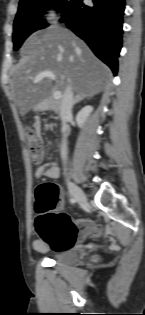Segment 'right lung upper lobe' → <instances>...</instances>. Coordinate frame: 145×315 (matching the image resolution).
I'll return each mask as SVG.
<instances>
[{"label": "right lung upper lobe", "instance_id": "obj_1", "mask_svg": "<svg viewBox=\"0 0 145 315\" xmlns=\"http://www.w3.org/2000/svg\"><path fill=\"white\" fill-rule=\"evenodd\" d=\"M26 1H29V0H20V3H21V2H26Z\"/></svg>", "mask_w": 145, "mask_h": 315}]
</instances>
